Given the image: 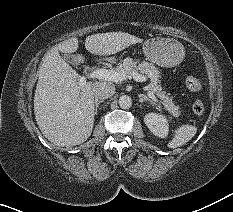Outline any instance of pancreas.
Instances as JSON below:
<instances>
[{
    "label": "pancreas",
    "mask_w": 233,
    "mask_h": 212,
    "mask_svg": "<svg viewBox=\"0 0 233 212\" xmlns=\"http://www.w3.org/2000/svg\"><path fill=\"white\" fill-rule=\"evenodd\" d=\"M116 71L125 74L126 78L132 77L133 72L138 71L148 76L151 79L150 90L160 98V103L173 116L177 117L180 115L179 106L174 104L172 97H169L162 91V87L159 85L160 72L153 63L147 61L139 62L128 57L117 66Z\"/></svg>",
    "instance_id": "obj_1"
}]
</instances>
